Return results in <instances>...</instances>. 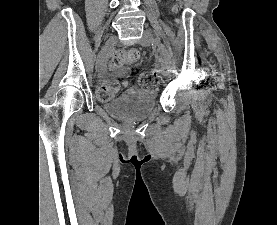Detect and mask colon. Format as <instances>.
<instances>
[{
	"label": "colon",
	"instance_id": "1",
	"mask_svg": "<svg viewBox=\"0 0 277 225\" xmlns=\"http://www.w3.org/2000/svg\"><path fill=\"white\" fill-rule=\"evenodd\" d=\"M185 2V0H178L175 9ZM140 58V53L136 49L119 50L115 53L112 65L114 67H123L135 63ZM160 74L155 70H148L140 75V85L146 90H154L159 83ZM120 86L116 81H110L99 86L97 90L98 98L101 100H108L119 92Z\"/></svg>",
	"mask_w": 277,
	"mask_h": 225
}]
</instances>
